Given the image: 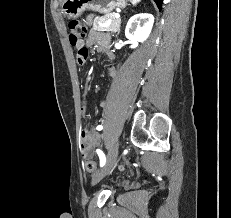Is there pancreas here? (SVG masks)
<instances>
[{
	"instance_id": "cf45deb5",
	"label": "pancreas",
	"mask_w": 231,
	"mask_h": 218,
	"mask_svg": "<svg viewBox=\"0 0 231 218\" xmlns=\"http://www.w3.org/2000/svg\"><path fill=\"white\" fill-rule=\"evenodd\" d=\"M108 21H110L109 25H105ZM120 18H115V13H108L98 20H95L93 23V29L97 31H111L117 32L120 29Z\"/></svg>"
}]
</instances>
